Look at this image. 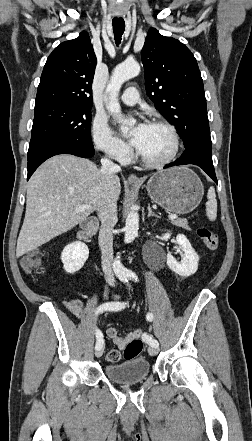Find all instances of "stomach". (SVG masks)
Wrapping results in <instances>:
<instances>
[{
    "label": "stomach",
    "mask_w": 252,
    "mask_h": 441,
    "mask_svg": "<svg viewBox=\"0 0 252 441\" xmlns=\"http://www.w3.org/2000/svg\"><path fill=\"white\" fill-rule=\"evenodd\" d=\"M146 189L153 202L175 214L193 211L204 194L201 180L186 166L173 167L152 175Z\"/></svg>",
    "instance_id": "0dacf381"
}]
</instances>
